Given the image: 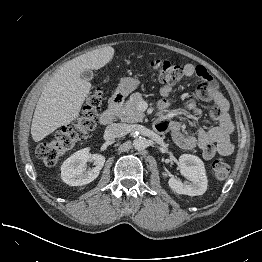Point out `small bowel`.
<instances>
[{"label": "small bowel", "mask_w": 262, "mask_h": 262, "mask_svg": "<svg viewBox=\"0 0 262 262\" xmlns=\"http://www.w3.org/2000/svg\"><path fill=\"white\" fill-rule=\"evenodd\" d=\"M183 69L187 77L193 75L199 77L198 96L202 100L214 104L213 109L210 111V118L216 121L218 125L209 129L202 128L198 123L201 114L199 108L189 104L192 134L185 135L182 132L180 123L173 120L175 113L167 110L169 106L168 100L163 99L159 105L161 114L155 124L156 130L160 133H170L172 139L185 149H200L205 159H211L217 153H230L233 148L230 141L233 124L228 114L229 103L227 99L203 66L187 63L183 66ZM160 92L161 95L166 98L171 94L172 88L170 86H164Z\"/></svg>", "instance_id": "small-bowel-1"}]
</instances>
